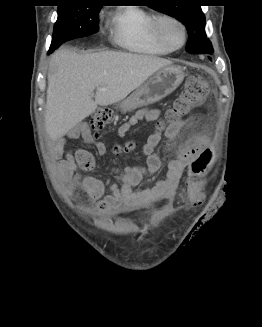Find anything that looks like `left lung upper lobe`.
Here are the masks:
<instances>
[{
	"instance_id": "obj_1",
	"label": "left lung upper lobe",
	"mask_w": 262,
	"mask_h": 327,
	"mask_svg": "<svg viewBox=\"0 0 262 327\" xmlns=\"http://www.w3.org/2000/svg\"><path fill=\"white\" fill-rule=\"evenodd\" d=\"M152 8L175 17L189 34L186 50L190 53L212 54L213 48L205 33V16L194 0H153Z\"/></svg>"
}]
</instances>
